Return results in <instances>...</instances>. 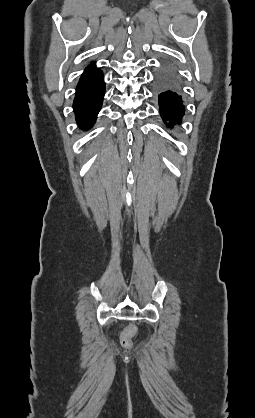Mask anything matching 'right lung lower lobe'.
Returning a JSON list of instances; mask_svg holds the SVG:
<instances>
[{
  "instance_id": "right-lung-lower-lobe-1",
  "label": "right lung lower lobe",
  "mask_w": 255,
  "mask_h": 418,
  "mask_svg": "<svg viewBox=\"0 0 255 418\" xmlns=\"http://www.w3.org/2000/svg\"><path fill=\"white\" fill-rule=\"evenodd\" d=\"M105 93V83L102 71L95 63L87 66L76 88L73 102L74 113L78 125L89 129L100 111Z\"/></svg>"
}]
</instances>
